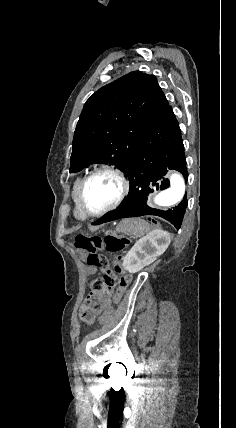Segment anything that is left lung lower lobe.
Listing matches in <instances>:
<instances>
[{
  "instance_id": "obj_1",
  "label": "left lung lower lobe",
  "mask_w": 236,
  "mask_h": 428,
  "mask_svg": "<svg viewBox=\"0 0 236 428\" xmlns=\"http://www.w3.org/2000/svg\"><path fill=\"white\" fill-rule=\"evenodd\" d=\"M167 168L179 171L187 181L181 131L170 106L145 131L124 171L130 180L127 198L117 209L92 224L98 225L128 217L157 215L179 229L188 203L186 197L170 210H159L146 204L149 193L169 187V180L164 177Z\"/></svg>"
}]
</instances>
